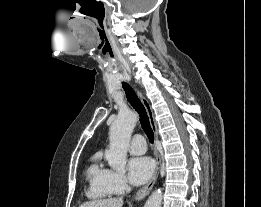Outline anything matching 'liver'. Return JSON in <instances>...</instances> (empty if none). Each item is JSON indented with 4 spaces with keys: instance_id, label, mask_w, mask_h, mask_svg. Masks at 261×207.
Listing matches in <instances>:
<instances>
[{
    "instance_id": "liver-1",
    "label": "liver",
    "mask_w": 261,
    "mask_h": 207,
    "mask_svg": "<svg viewBox=\"0 0 261 207\" xmlns=\"http://www.w3.org/2000/svg\"><path fill=\"white\" fill-rule=\"evenodd\" d=\"M123 199L122 198H107L93 200L81 204L79 207H122Z\"/></svg>"
}]
</instances>
